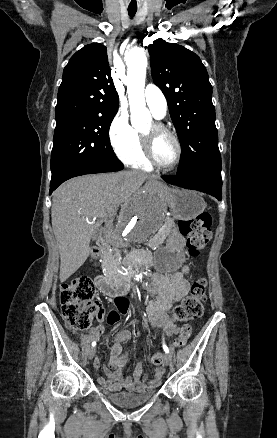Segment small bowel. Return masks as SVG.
<instances>
[{"label":"small bowel","mask_w":277,"mask_h":438,"mask_svg":"<svg viewBox=\"0 0 277 438\" xmlns=\"http://www.w3.org/2000/svg\"><path fill=\"white\" fill-rule=\"evenodd\" d=\"M190 288V269L184 265L180 270H175L169 275L156 273L153 276L152 284L149 286L148 293L156 296V300L150 301L146 306V312L150 325L153 328H163L168 336L176 335L179 332L178 326L172 319L173 306L179 303L186 296ZM99 310L103 311L102 306L98 305ZM128 310L124 313L127 314ZM104 335V327L98 325L89 332L82 335L81 340L84 344H89L92 339ZM131 331L128 328L120 330L109 342V362L104 368L107 379L97 378L99 385L110 391H118L122 388L128 391L144 392L157 387L164 375V368H156L153 378L143 375V364L139 362L131 376H124L123 371L128 361L127 353L123 352V343L129 342ZM95 367L99 366L96 359Z\"/></svg>","instance_id":"1"}]
</instances>
